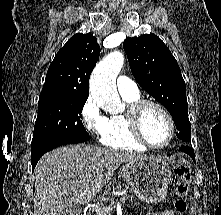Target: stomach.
<instances>
[{
	"instance_id": "1",
	"label": "stomach",
	"mask_w": 221,
	"mask_h": 215,
	"mask_svg": "<svg viewBox=\"0 0 221 215\" xmlns=\"http://www.w3.org/2000/svg\"><path fill=\"white\" fill-rule=\"evenodd\" d=\"M123 177L136 196L149 204L162 201L173 180L169 165L158 156L127 162L123 166Z\"/></svg>"
}]
</instances>
